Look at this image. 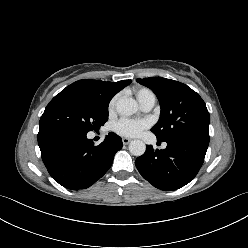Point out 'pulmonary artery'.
<instances>
[{
	"instance_id": "pulmonary-artery-1",
	"label": "pulmonary artery",
	"mask_w": 248,
	"mask_h": 248,
	"mask_svg": "<svg viewBox=\"0 0 248 248\" xmlns=\"http://www.w3.org/2000/svg\"><path fill=\"white\" fill-rule=\"evenodd\" d=\"M155 102H156L155 99H149V100L145 101L144 103L141 104L143 110H144V111H149V110H151V109L154 107Z\"/></svg>"
}]
</instances>
